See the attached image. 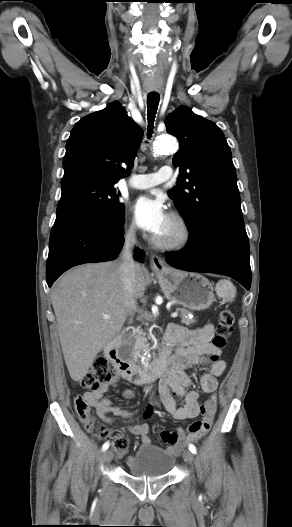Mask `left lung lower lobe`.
I'll return each mask as SVG.
<instances>
[{
  "label": "left lung lower lobe",
  "mask_w": 292,
  "mask_h": 527,
  "mask_svg": "<svg viewBox=\"0 0 292 527\" xmlns=\"http://www.w3.org/2000/svg\"><path fill=\"white\" fill-rule=\"evenodd\" d=\"M172 267L223 274L247 290L251 285L249 242L244 223L220 222L190 232L187 246L179 252H166Z\"/></svg>",
  "instance_id": "1"
}]
</instances>
